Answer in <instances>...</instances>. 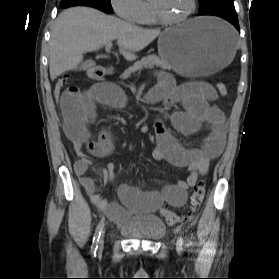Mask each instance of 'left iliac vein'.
Instances as JSON below:
<instances>
[{
  "mask_svg": "<svg viewBox=\"0 0 279 279\" xmlns=\"http://www.w3.org/2000/svg\"><path fill=\"white\" fill-rule=\"evenodd\" d=\"M177 251L178 252L182 251V241L180 239L177 241Z\"/></svg>",
  "mask_w": 279,
  "mask_h": 279,
  "instance_id": "1",
  "label": "left iliac vein"
}]
</instances>
